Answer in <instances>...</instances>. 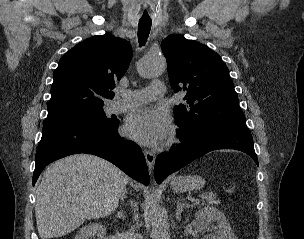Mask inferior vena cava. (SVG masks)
<instances>
[{"instance_id": "602c4592", "label": "inferior vena cava", "mask_w": 304, "mask_h": 239, "mask_svg": "<svg viewBox=\"0 0 304 239\" xmlns=\"http://www.w3.org/2000/svg\"><path fill=\"white\" fill-rule=\"evenodd\" d=\"M133 206H134V208L137 209V205L136 204H134ZM137 218H138V215H135V220ZM134 231H135V226L131 227V229H130V238L129 239H141V237L139 235H136L134 233Z\"/></svg>"}]
</instances>
